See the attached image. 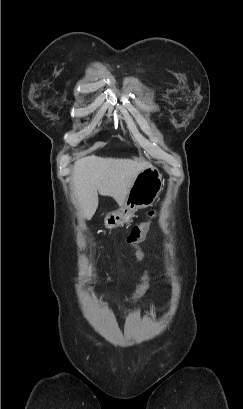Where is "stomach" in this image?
<instances>
[{
    "mask_svg": "<svg viewBox=\"0 0 243 409\" xmlns=\"http://www.w3.org/2000/svg\"><path fill=\"white\" fill-rule=\"evenodd\" d=\"M163 189L162 176L152 165L147 166L135 177L125 204L105 217V226L113 230L132 220L138 209L152 206Z\"/></svg>",
    "mask_w": 243,
    "mask_h": 409,
    "instance_id": "1",
    "label": "stomach"
}]
</instances>
